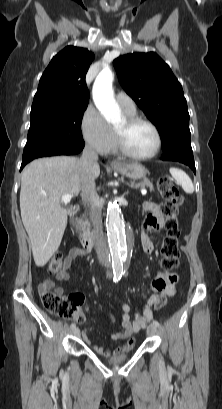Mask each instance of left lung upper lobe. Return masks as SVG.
Listing matches in <instances>:
<instances>
[{
	"instance_id": "5c2ea615",
	"label": "left lung upper lobe",
	"mask_w": 222,
	"mask_h": 409,
	"mask_svg": "<svg viewBox=\"0 0 222 409\" xmlns=\"http://www.w3.org/2000/svg\"><path fill=\"white\" fill-rule=\"evenodd\" d=\"M113 64L121 86L157 127L162 150L190 148L187 102L169 66L154 52L123 55Z\"/></svg>"
}]
</instances>
